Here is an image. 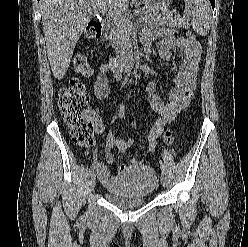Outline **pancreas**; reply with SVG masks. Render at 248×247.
Segmentation results:
<instances>
[{"instance_id": "pancreas-1", "label": "pancreas", "mask_w": 248, "mask_h": 247, "mask_svg": "<svg viewBox=\"0 0 248 247\" xmlns=\"http://www.w3.org/2000/svg\"><path fill=\"white\" fill-rule=\"evenodd\" d=\"M135 15L140 16L138 22L141 26L147 29H156L159 26L169 25L172 27L188 28V23L181 17H162L159 12L155 10L140 9L139 13L135 12ZM108 27L110 28L109 40L113 43V47L116 54L123 55L130 43V30L132 24L129 16L121 14L120 16H113L108 21Z\"/></svg>"}]
</instances>
